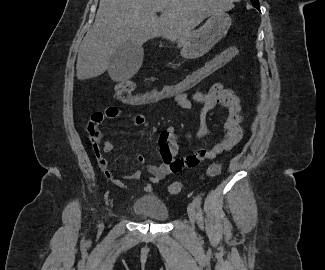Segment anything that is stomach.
I'll return each instance as SVG.
<instances>
[{"label": "stomach", "mask_w": 325, "mask_h": 270, "mask_svg": "<svg viewBox=\"0 0 325 270\" xmlns=\"http://www.w3.org/2000/svg\"><path fill=\"white\" fill-rule=\"evenodd\" d=\"M231 26V17L225 13L212 14L198 30L192 31L187 38L178 39L181 55L186 59H194L205 55L220 41Z\"/></svg>", "instance_id": "1"}]
</instances>
